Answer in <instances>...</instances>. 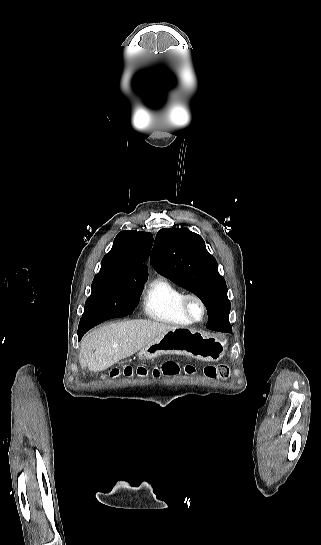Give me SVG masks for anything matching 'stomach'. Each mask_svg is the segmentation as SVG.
Instances as JSON below:
<instances>
[{"label": "stomach", "mask_w": 321, "mask_h": 545, "mask_svg": "<svg viewBox=\"0 0 321 545\" xmlns=\"http://www.w3.org/2000/svg\"><path fill=\"white\" fill-rule=\"evenodd\" d=\"M228 345L225 335L206 337L193 329H174L166 331L160 337L148 343L139 353V359L153 361L160 355H187L200 361H220L223 359Z\"/></svg>", "instance_id": "1"}]
</instances>
